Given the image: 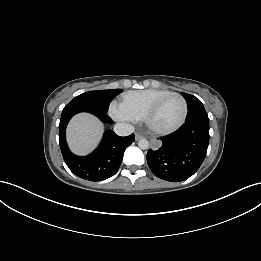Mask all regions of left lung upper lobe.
Instances as JSON below:
<instances>
[{
  "label": "left lung upper lobe",
  "instance_id": "left-lung-upper-lobe-1",
  "mask_svg": "<svg viewBox=\"0 0 261 261\" xmlns=\"http://www.w3.org/2000/svg\"><path fill=\"white\" fill-rule=\"evenodd\" d=\"M188 104V116L186 121H190L200 117H208L201 101L193 95L182 93Z\"/></svg>",
  "mask_w": 261,
  "mask_h": 261
}]
</instances>
